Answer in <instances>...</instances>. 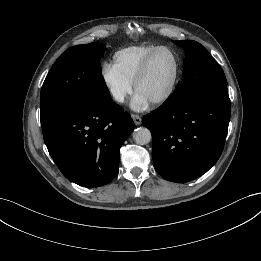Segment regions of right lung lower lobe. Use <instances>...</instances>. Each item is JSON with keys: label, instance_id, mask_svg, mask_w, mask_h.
Segmentation results:
<instances>
[{"label": "right lung lower lobe", "instance_id": "1", "mask_svg": "<svg viewBox=\"0 0 261 261\" xmlns=\"http://www.w3.org/2000/svg\"><path fill=\"white\" fill-rule=\"evenodd\" d=\"M133 129L131 116L113 100L71 110L42 126L62 174L88 188L106 185L118 174L119 150Z\"/></svg>", "mask_w": 261, "mask_h": 261}]
</instances>
